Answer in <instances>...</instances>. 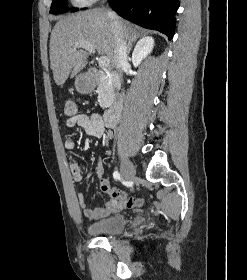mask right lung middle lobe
<instances>
[{"mask_svg": "<svg viewBox=\"0 0 247 280\" xmlns=\"http://www.w3.org/2000/svg\"><path fill=\"white\" fill-rule=\"evenodd\" d=\"M66 10H67L66 0H53L50 13L57 15L59 13L66 12ZM77 10L78 9H73L72 11H77Z\"/></svg>", "mask_w": 247, "mask_h": 280, "instance_id": "1", "label": "right lung middle lobe"}]
</instances>
